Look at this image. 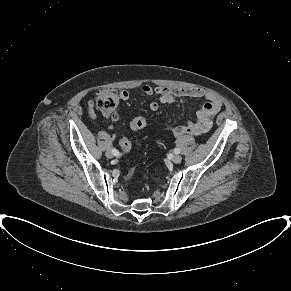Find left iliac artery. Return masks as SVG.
Listing matches in <instances>:
<instances>
[{
    "mask_svg": "<svg viewBox=\"0 0 291 291\" xmlns=\"http://www.w3.org/2000/svg\"><path fill=\"white\" fill-rule=\"evenodd\" d=\"M174 153L179 154L180 153V149L179 148H175L174 149Z\"/></svg>",
    "mask_w": 291,
    "mask_h": 291,
    "instance_id": "1",
    "label": "left iliac artery"
}]
</instances>
